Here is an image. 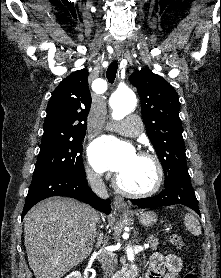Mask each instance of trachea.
<instances>
[{"instance_id":"3493384b","label":"trachea","mask_w":221,"mask_h":278,"mask_svg":"<svg viewBox=\"0 0 221 278\" xmlns=\"http://www.w3.org/2000/svg\"><path fill=\"white\" fill-rule=\"evenodd\" d=\"M117 69H118V64L116 61H113L107 69L106 76L109 83L111 84L114 82L116 78Z\"/></svg>"}]
</instances>
